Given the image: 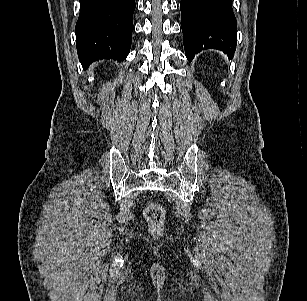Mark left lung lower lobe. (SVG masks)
Wrapping results in <instances>:
<instances>
[{
	"mask_svg": "<svg viewBox=\"0 0 307 301\" xmlns=\"http://www.w3.org/2000/svg\"><path fill=\"white\" fill-rule=\"evenodd\" d=\"M181 28L187 59L206 49L223 51L231 59L236 50L237 22L232 0H181Z\"/></svg>",
	"mask_w": 307,
	"mask_h": 301,
	"instance_id": "0a47b994",
	"label": "left lung lower lobe"
}]
</instances>
